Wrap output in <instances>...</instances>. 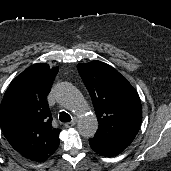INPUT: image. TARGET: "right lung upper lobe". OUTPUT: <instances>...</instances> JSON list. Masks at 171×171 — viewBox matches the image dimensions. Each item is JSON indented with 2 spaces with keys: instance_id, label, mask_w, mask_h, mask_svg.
<instances>
[{
  "instance_id": "right-lung-upper-lobe-1",
  "label": "right lung upper lobe",
  "mask_w": 171,
  "mask_h": 171,
  "mask_svg": "<svg viewBox=\"0 0 171 171\" xmlns=\"http://www.w3.org/2000/svg\"><path fill=\"white\" fill-rule=\"evenodd\" d=\"M58 68L38 63L18 75L0 105V125L11 146L22 156L44 161L59 146V129L52 127L46 102Z\"/></svg>"
}]
</instances>
